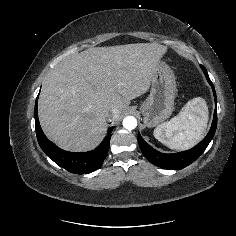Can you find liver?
I'll return each instance as SVG.
<instances>
[{"mask_svg":"<svg viewBox=\"0 0 236 236\" xmlns=\"http://www.w3.org/2000/svg\"><path fill=\"white\" fill-rule=\"evenodd\" d=\"M167 47L136 43L94 47L75 53L52 69L39 97L46 136L62 149L88 151L102 140L109 113L118 119L130 100L150 87Z\"/></svg>","mask_w":236,"mask_h":236,"instance_id":"liver-1","label":"liver"}]
</instances>
